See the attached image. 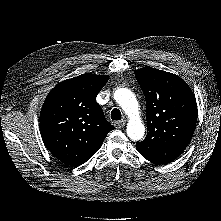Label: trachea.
I'll return each instance as SVG.
<instances>
[{
    "mask_svg": "<svg viewBox=\"0 0 221 221\" xmlns=\"http://www.w3.org/2000/svg\"><path fill=\"white\" fill-rule=\"evenodd\" d=\"M111 119L112 120H120L121 119V112L119 109L115 108L111 111Z\"/></svg>",
    "mask_w": 221,
    "mask_h": 221,
    "instance_id": "1",
    "label": "trachea"
}]
</instances>
